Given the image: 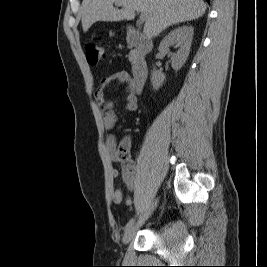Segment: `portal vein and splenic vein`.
I'll return each mask as SVG.
<instances>
[{"mask_svg": "<svg viewBox=\"0 0 267 267\" xmlns=\"http://www.w3.org/2000/svg\"><path fill=\"white\" fill-rule=\"evenodd\" d=\"M116 5H120V4L116 3ZM146 17H147V15L145 13H141L140 20L143 22V21H145Z\"/></svg>", "mask_w": 267, "mask_h": 267, "instance_id": "18ae733b", "label": "portal vein and splenic vein"}]
</instances>
